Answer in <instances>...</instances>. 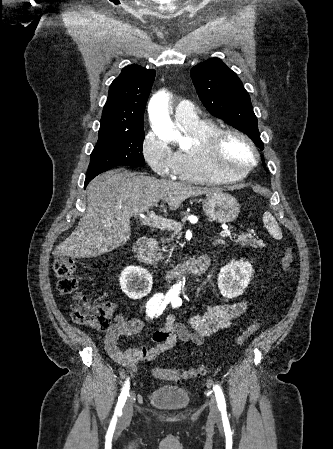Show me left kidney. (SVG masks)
<instances>
[{"label": "left kidney", "mask_w": 333, "mask_h": 449, "mask_svg": "<svg viewBox=\"0 0 333 449\" xmlns=\"http://www.w3.org/2000/svg\"><path fill=\"white\" fill-rule=\"evenodd\" d=\"M252 273L253 268L248 261L233 260L224 266L218 274V288L222 296H240L250 283Z\"/></svg>", "instance_id": "1"}]
</instances>
